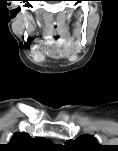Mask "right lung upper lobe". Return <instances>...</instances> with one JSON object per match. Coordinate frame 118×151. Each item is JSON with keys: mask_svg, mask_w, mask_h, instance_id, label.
<instances>
[{"mask_svg": "<svg viewBox=\"0 0 118 151\" xmlns=\"http://www.w3.org/2000/svg\"><path fill=\"white\" fill-rule=\"evenodd\" d=\"M49 140L45 138H32L26 133H15L7 144V148L13 151H31L38 149H46L52 144H49Z\"/></svg>", "mask_w": 118, "mask_h": 151, "instance_id": "right-lung-upper-lobe-1", "label": "right lung upper lobe"}]
</instances>
